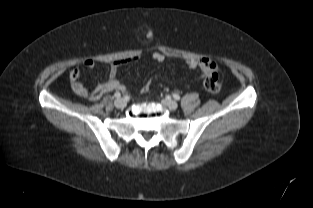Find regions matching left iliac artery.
<instances>
[{
	"instance_id": "44dca946",
	"label": "left iliac artery",
	"mask_w": 313,
	"mask_h": 208,
	"mask_svg": "<svg viewBox=\"0 0 313 208\" xmlns=\"http://www.w3.org/2000/svg\"><path fill=\"white\" fill-rule=\"evenodd\" d=\"M173 98H174L175 100H180V96H179L178 94H173Z\"/></svg>"
}]
</instances>
